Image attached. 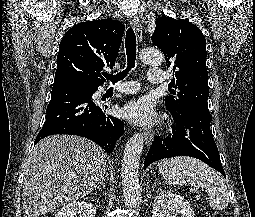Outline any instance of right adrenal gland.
<instances>
[{
  "label": "right adrenal gland",
  "instance_id": "right-adrenal-gland-1",
  "mask_svg": "<svg viewBox=\"0 0 255 217\" xmlns=\"http://www.w3.org/2000/svg\"><path fill=\"white\" fill-rule=\"evenodd\" d=\"M99 185H102L103 188H105V179H104V177H102L101 180L99 181V183L97 184L98 188H99Z\"/></svg>",
  "mask_w": 255,
  "mask_h": 217
}]
</instances>
